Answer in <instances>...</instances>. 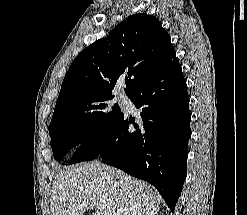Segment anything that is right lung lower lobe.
I'll list each match as a JSON object with an SVG mask.
<instances>
[{"label": "right lung lower lobe", "mask_w": 247, "mask_h": 215, "mask_svg": "<svg viewBox=\"0 0 247 215\" xmlns=\"http://www.w3.org/2000/svg\"><path fill=\"white\" fill-rule=\"evenodd\" d=\"M128 97L142 110L139 121L122 113L102 133L82 142L69 164L100 157L152 184L173 212L187 174L191 133L186 82L174 49Z\"/></svg>", "instance_id": "right-lung-lower-lobe-1"}]
</instances>
